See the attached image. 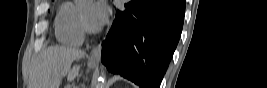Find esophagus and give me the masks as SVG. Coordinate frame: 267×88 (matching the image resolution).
<instances>
[{
    "instance_id": "esophagus-1",
    "label": "esophagus",
    "mask_w": 267,
    "mask_h": 88,
    "mask_svg": "<svg viewBox=\"0 0 267 88\" xmlns=\"http://www.w3.org/2000/svg\"><path fill=\"white\" fill-rule=\"evenodd\" d=\"M101 47H102L101 43H99L98 45L93 47L91 54H90V57H89L90 63H98L99 62L100 56H101Z\"/></svg>"
}]
</instances>
